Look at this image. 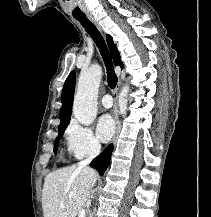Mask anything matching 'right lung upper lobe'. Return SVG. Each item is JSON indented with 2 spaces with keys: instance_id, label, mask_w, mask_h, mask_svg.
<instances>
[{
  "instance_id": "1",
  "label": "right lung upper lobe",
  "mask_w": 211,
  "mask_h": 217,
  "mask_svg": "<svg viewBox=\"0 0 211 217\" xmlns=\"http://www.w3.org/2000/svg\"><path fill=\"white\" fill-rule=\"evenodd\" d=\"M107 43L111 51L115 65H119L120 67H123V63L121 62L120 59V53L116 49V45L114 44L113 39L110 35L107 36ZM74 87H75V72L72 71L67 77L62 90V96H61L62 107L60 109L61 123L58 127V130L60 128L67 126L70 121L72 103L74 97Z\"/></svg>"
}]
</instances>
